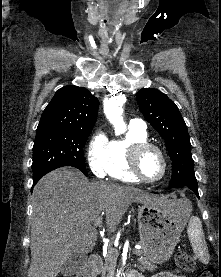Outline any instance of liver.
Listing matches in <instances>:
<instances>
[{
	"mask_svg": "<svg viewBox=\"0 0 221 277\" xmlns=\"http://www.w3.org/2000/svg\"><path fill=\"white\" fill-rule=\"evenodd\" d=\"M166 200L130 186L89 182L71 167L46 174L33 191L27 277H56L73 253H90L98 234L93 222L102 212L106 214V231L112 233L130 203L165 207Z\"/></svg>",
	"mask_w": 221,
	"mask_h": 277,
	"instance_id": "1",
	"label": "liver"
}]
</instances>
